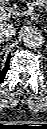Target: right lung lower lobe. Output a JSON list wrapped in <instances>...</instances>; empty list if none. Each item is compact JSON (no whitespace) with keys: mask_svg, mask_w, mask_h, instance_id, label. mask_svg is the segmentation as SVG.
<instances>
[{"mask_svg":"<svg viewBox=\"0 0 47 129\" xmlns=\"http://www.w3.org/2000/svg\"><path fill=\"white\" fill-rule=\"evenodd\" d=\"M9 59H10V54L8 56V59L6 61V65L4 67V69L2 70V72L0 73V83L4 80L5 78V74L6 72L8 71V68H9Z\"/></svg>","mask_w":47,"mask_h":129,"instance_id":"right-lung-lower-lobe-1","label":"right lung lower lobe"}]
</instances>
